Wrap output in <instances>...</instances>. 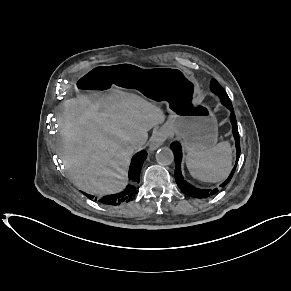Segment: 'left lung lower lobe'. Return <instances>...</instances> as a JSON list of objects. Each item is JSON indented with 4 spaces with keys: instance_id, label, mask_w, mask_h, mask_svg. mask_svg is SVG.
Returning <instances> with one entry per match:
<instances>
[{
    "instance_id": "left-lung-lower-lobe-1",
    "label": "left lung lower lobe",
    "mask_w": 291,
    "mask_h": 291,
    "mask_svg": "<svg viewBox=\"0 0 291 291\" xmlns=\"http://www.w3.org/2000/svg\"><path fill=\"white\" fill-rule=\"evenodd\" d=\"M221 99V102L223 105H225L230 111H231V116H230V120L232 123V132L235 138V143H236V149H237V159H236V164L233 168V170L231 171L229 177L220 185V187H224L227 183L230 182L235 169H236V165L238 163V159L240 156V140H239V133H238V127H237V122H236V117L234 114V110H233V106L232 103L228 97V95H218ZM171 149L174 152V157H175V180L176 183L179 187V189L186 194L187 196H191V197H195V198H208L214 194H216L218 192V188H214V189H199L196 188L194 186H192L191 184H189L182 176L181 173V168H180V164H181V159H182V153H181V145L178 142H173L171 144Z\"/></svg>"
}]
</instances>
